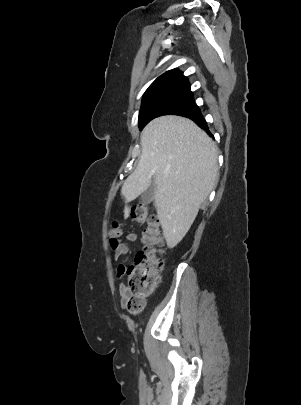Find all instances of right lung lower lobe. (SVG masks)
Returning <instances> with one entry per match:
<instances>
[{"mask_svg": "<svg viewBox=\"0 0 301 405\" xmlns=\"http://www.w3.org/2000/svg\"><path fill=\"white\" fill-rule=\"evenodd\" d=\"M180 115L188 117V118L194 120L196 122V124H198L202 129H204L205 131L210 133L209 129H208V126H207V123L204 120V118H203V116H202L199 109L193 110V111H190V112H185V113H182Z\"/></svg>", "mask_w": 301, "mask_h": 405, "instance_id": "98d812e1", "label": "right lung lower lobe"}]
</instances>
